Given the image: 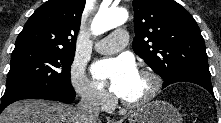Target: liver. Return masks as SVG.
<instances>
[{
  "instance_id": "6515ba94",
  "label": "liver",
  "mask_w": 221,
  "mask_h": 123,
  "mask_svg": "<svg viewBox=\"0 0 221 123\" xmlns=\"http://www.w3.org/2000/svg\"><path fill=\"white\" fill-rule=\"evenodd\" d=\"M75 107L44 100H22L8 106L0 123H79Z\"/></svg>"
}]
</instances>
